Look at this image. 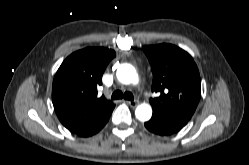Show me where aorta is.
Returning <instances> with one entry per match:
<instances>
[{
	"label": "aorta",
	"mask_w": 249,
	"mask_h": 165,
	"mask_svg": "<svg viewBox=\"0 0 249 165\" xmlns=\"http://www.w3.org/2000/svg\"><path fill=\"white\" fill-rule=\"evenodd\" d=\"M117 78L123 84H137L139 82L136 70L132 66H121L117 70ZM136 118L140 121H148L152 116V108L149 104H140L135 110Z\"/></svg>",
	"instance_id": "1"
}]
</instances>
